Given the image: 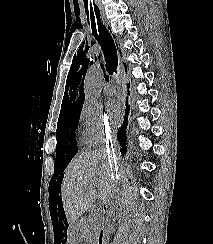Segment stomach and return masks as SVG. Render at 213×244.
<instances>
[{
  "instance_id": "obj_1",
  "label": "stomach",
  "mask_w": 213,
  "mask_h": 244,
  "mask_svg": "<svg viewBox=\"0 0 213 244\" xmlns=\"http://www.w3.org/2000/svg\"><path fill=\"white\" fill-rule=\"evenodd\" d=\"M81 221H69V239H67V244H80V238L83 234V229H79L81 226Z\"/></svg>"
}]
</instances>
